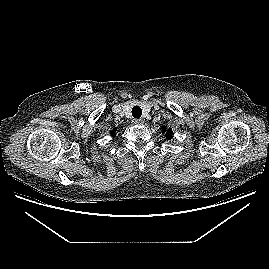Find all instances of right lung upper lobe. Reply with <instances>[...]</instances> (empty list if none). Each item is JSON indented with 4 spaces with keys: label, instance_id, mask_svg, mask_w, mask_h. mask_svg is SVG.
<instances>
[{
    "label": "right lung upper lobe",
    "instance_id": "obj_1",
    "mask_svg": "<svg viewBox=\"0 0 269 269\" xmlns=\"http://www.w3.org/2000/svg\"><path fill=\"white\" fill-rule=\"evenodd\" d=\"M117 131V129L116 128H114L112 131H111V134H112V136H114L115 135V132Z\"/></svg>",
    "mask_w": 269,
    "mask_h": 269
}]
</instances>
